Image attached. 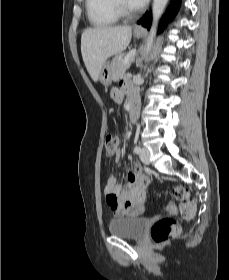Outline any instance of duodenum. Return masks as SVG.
I'll return each mask as SVG.
<instances>
[{"label":"duodenum","mask_w":229,"mask_h":280,"mask_svg":"<svg viewBox=\"0 0 229 280\" xmlns=\"http://www.w3.org/2000/svg\"><path fill=\"white\" fill-rule=\"evenodd\" d=\"M140 110V100L136 92H131L128 98V116L131 123H136Z\"/></svg>","instance_id":"410a0bca"}]
</instances>
